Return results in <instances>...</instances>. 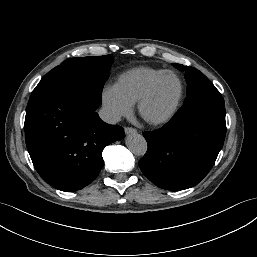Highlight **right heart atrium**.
I'll use <instances>...</instances> for the list:
<instances>
[{"label": "right heart atrium", "instance_id": "1", "mask_svg": "<svg viewBox=\"0 0 257 257\" xmlns=\"http://www.w3.org/2000/svg\"><path fill=\"white\" fill-rule=\"evenodd\" d=\"M101 98L105 115L111 121H117L123 116H128L132 111V105L113 86L105 87Z\"/></svg>", "mask_w": 257, "mask_h": 257}]
</instances>
